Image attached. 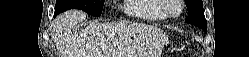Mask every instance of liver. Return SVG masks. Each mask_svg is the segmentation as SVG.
<instances>
[{
  "label": "liver",
  "instance_id": "liver-1",
  "mask_svg": "<svg viewBox=\"0 0 249 57\" xmlns=\"http://www.w3.org/2000/svg\"><path fill=\"white\" fill-rule=\"evenodd\" d=\"M85 17L83 11L69 10L56 18L54 36L62 57H160L163 33L159 28L92 21L74 31Z\"/></svg>",
  "mask_w": 249,
  "mask_h": 57
}]
</instances>
